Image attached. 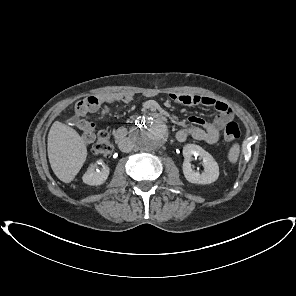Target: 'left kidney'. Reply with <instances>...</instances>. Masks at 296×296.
Wrapping results in <instances>:
<instances>
[{"instance_id":"obj_1","label":"left kidney","mask_w":296,"mask_h":296,"mask_svg":"<svg viewBox=\"0 0 296 296\" xmlns=\"http://www.w3.org/2000/svg\"><path fill=\"white\" fill-rule=\"evenodd\" d=\"M183 174L186 180L193 184H210L219 177V166L210 153L198 145L187 144L183 147ZM199 157L203 161L204 170L200 173L191 167L194 157Z\"/></svg>"}]
</instances>
